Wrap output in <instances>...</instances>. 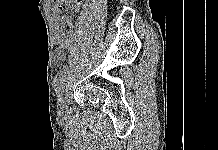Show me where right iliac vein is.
Wrapping results in <instances>:
<instances>
[{
  "label": "right iliac vein",
  "mask_w": 218,
  "mask_h": 150,
  "mask_svg": "<svg viewBox=\"0 0 218 150\" xmlns=\"http://www.w3.org/2000/svg\"><path fill=\"white\" fill-rule=\"evenodd\" d=\"M63 92H61V95L58 99V103H57V109H58V113L59 115L63 116L64 115V108H65V105H64V97H63Z\"/></svg>",
  "instance_id": "right-iliac-vein-1"
}]
</instances>
